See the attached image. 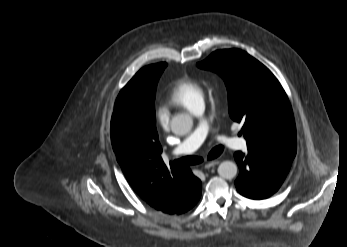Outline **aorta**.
Masks as SVG:
<instances>
[{
  "instance_id": "obj_1",
  "label": "aorta",
  "mask_w": 347,
  "mask_h": 247,
  "mask_svg": "<svg viewBox=\"0 0 347 247\" xmlns=\"http://www.w3.org/2000/svg\"><path fill=\"white\" fill-rule=\"evenodd\" d=\"M193 126V119L189 114H178L171 120V130L176 135L189 133ZM218 174L224 179H233L237 174V165L232 161H223L218 166Z\"/></svg>"
}]
</instances>
